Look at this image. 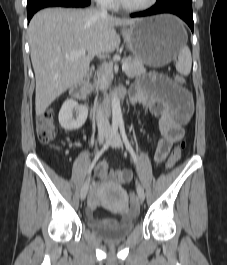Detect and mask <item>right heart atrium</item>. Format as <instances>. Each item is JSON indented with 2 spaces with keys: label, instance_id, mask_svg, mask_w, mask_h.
I'll return each instance as SVG.
<instances>
[{
  "label": "right heart atrium",
  "instance_id": "d8ad5b80",
  "mask_svg": "<svg viewBox=\"0 0 227 265\" xmlns=\"http://www.w3.org/2000/svg\"><path fill=\"white\" fill-rule=\"evenodd\" d=\"M100 5L104 7H112L115 3V0H96Z\"/></svg>",
  "mask_w": 227,
  "mask_h": 265
}]
</instances>
